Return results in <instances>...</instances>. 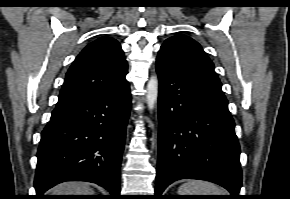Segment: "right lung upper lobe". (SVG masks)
<instances>
[{
    "mask_svg": "<svg viewBox=\"0 0 290 199\" xmlns=\"http://www.w3.org/2000/svg\"><path fill=\"white\" fill-rule=\"evenodd\" d=\"M126 74L127 62L118 41L110 37L99 38L88 44L72 63L57 106L115 91L128 83Z\"/></svg>",
    "mask_w": 290,
    "mask_h": 199,
    "instance_id": "right-lung-upper-lobe-1",
    "label": "right lung upper lobe"
}]
</instances>
